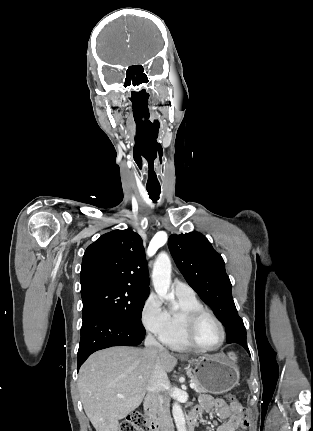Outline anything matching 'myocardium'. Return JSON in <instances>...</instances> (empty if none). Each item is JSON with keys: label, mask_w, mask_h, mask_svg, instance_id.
<instances>
[{"label": "myocardium", "mask_w": 313, "mask_h": 431, "mask_svg": "<svg viewBox=\"0 0 313 431\" xmlns=\"http://www.w3.org/2000/svg\"><path fill=\"white\" fill-rule=\"evenodd\" d=\"M205 316H209L210 318H212L220 329L221 339L219 343L213 347L202 346L195 339L196 327L199 321ZM184 336L187 343L194 349H197L200 351H216L224 345L226 340V331L220 319L211 310L206 308H201L187 315L185 319V324H184Z\"/></svg>", "instance_id": "f54148a6"}]
</instances>
